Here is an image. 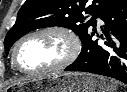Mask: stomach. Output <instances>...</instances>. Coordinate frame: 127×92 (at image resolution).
I'll list each match as a JSON object with an SVG mask.
<instances>
[{"instance_id": "0dacf381", "label": "stomach", "mask_w": 127, "mask_h": 92, "mask_svg": "<svg viewBox=\"0 0 127 92\" xmlns=\"http://www.w3.org/2000/svg\"><path fill=\"white\" fill-rule=\"evenodd\" d=\"M26 86L30 92H115L112 82L86 73L49 74L27 81Z\"/></svg>"}]
</instances>
